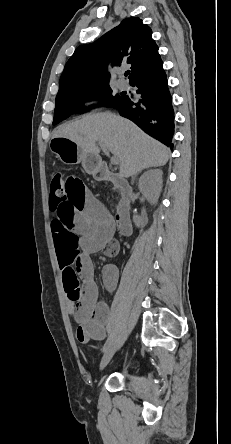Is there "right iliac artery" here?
Listing matches in <instances>:
<instances>
[{
	"label": "right iliac artery",
	"mask_w": 231,
	"mask_h": 444,
	"mask_svg": "<svg viewBox=\"0 0 231 444\" xmlns=\"http://www.w3.org/2000/svg\"><path fill=\"white\" fill-rule=\"evenodd\" d=\"M112 342V337H110L107 342L105 343L104 347H103V352H105L111 345Z\"/></svg>",
	"instance_id": "right-iliac-artery-1"
}]
</instances>
